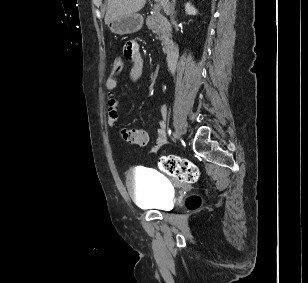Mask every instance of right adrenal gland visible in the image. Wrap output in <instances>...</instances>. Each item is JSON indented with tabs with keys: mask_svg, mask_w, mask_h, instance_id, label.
I'll use <instances>...</instances> for the list:
<instances>
[{
	"mask_svg": "<svg viewBox=\"0 0 308 283\" xmlns=\"http://www.w3.org/2000/svg\"><path fill=\"white\" fill-rule=\"evenodd\" d=\"M175 4H176V0H172L171 6H172V10H173V11L175 10Z\"/></svg>",
	"mask_w": 308,
	"mask_h": 283,
	"instance_id": "2a0ac1e0",
	"label": "right adrenal gland"
}]
</instances>
